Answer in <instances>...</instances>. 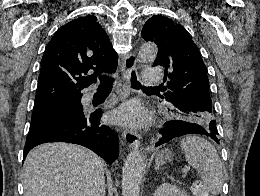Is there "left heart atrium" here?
Returning <instances> with one entry per match:
<instances>
[{
  "mask_svg": "<svg viewBox=\"0 0 260 196\" xmlns=\"http://www.w3.org/2000/svg\"><path fill=\"white\" fill-rule=\"evenodd\" d=\"M114 120L132 127L143 125L148 115L137 100H131L122 104L113 114Z\"/></svg>",
  "mask_w": 260,
  "mask_h": 196,
  "instance_id": "39dd6f15",
  "label": "left heart atrium"
}]
</instances>
